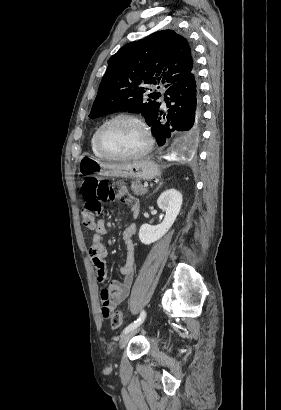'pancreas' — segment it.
I'll return each mask as SVG.
<instances>
[{
  "label": "pancreas",
  "mask_w": 281,
  "mask_h": 410,
  "mask_svg": "<svg viewBox=\"0 0 281 410\" xmlns=\"http://www.w3.org/2000/svg\"><path fill=\"white\" fill-rule=\"evenodd\" d=\"M131 190L134 192L135 195H143L147 193V189L144 188L139 181L132 182Z\"/></svg>",
  "instance_id": "cf45deb5"
}]
</instances>
